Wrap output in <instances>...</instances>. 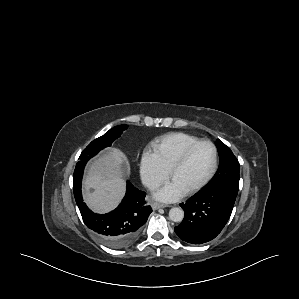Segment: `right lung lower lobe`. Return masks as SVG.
<instances>
[{"label": "right lung lower lobe", "mask_w": 299, "mask_h": 299, "mask_svg": "<svg viewBox=\"0 0 299 299\" xmlns=\"http://www.w3.org/2000/svg\"><path fill=\"white\" fill-rule=\"evenodd\" d=\"M89 159H80L73 175L74 196L83 221L107 246L125 248L136 239L140 227L152 212L145 202L146 193L128 181L126 195L114 211L104 215L93 213L83 202L81 194L83 170Z\"/></svg>", "instance_id": "1"}]
</instances>
